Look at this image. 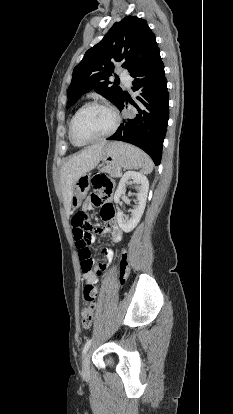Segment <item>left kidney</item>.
<instances>
[{
    "label": "left kidney",
    "instance_id": "left-kidney-1",
    "mask_svg": "<svg viewBox=\"0 0 233 414\" xmlns=\"http://www.w3.org/2000/svg\"><path fill=\"white\" fill-rule=\"evenodd\" d=\"M129 180H133V183L137 184L138 193L136 194L137 197V204L135 205L134 209L131 210V217H125L121 211L117 212V221L119 227L126 233L131 232L137 224L140 222V219L143 215L147 194L149 189V182L145 175L135 171H128L126 172L117 187V190L114 195V202L119 203L120 197L125 192L126 183Z\"/></svg>",
    "mask_w": 233,
    "mask_h": 414
}]
</instances>
